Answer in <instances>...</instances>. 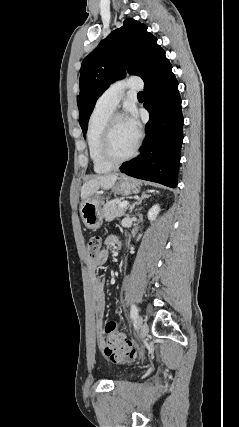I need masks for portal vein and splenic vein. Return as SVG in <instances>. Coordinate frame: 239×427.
<instances>
[{
    "label": "portal vein and splenic vein",
    "mask_w": 239,
    "mask_h": 427,
    "mask_svg": "<svg viewBox=\"0 0 239 427\" xmlns=\"http://www.w3.org/2000/svg\"><path fill=\"white\" fill-rule=\"evenodd\" d=\"M129 205V202L128 201H123V202H121V203H119L118 204V207L119 208H125V207H127Z\"/></svg>",
    "instance_id": "18ae733b"
}]
</instances>
